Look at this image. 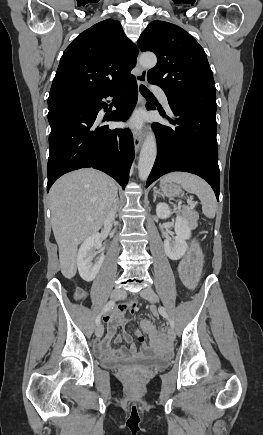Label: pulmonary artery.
<instances>
[{
  "label": "pulmonary artery",
  "mask_w": 263,
  "mask_h": 435,
  "mask_svg": "<svg viewBox=\"0 0 263 435\" xmlns=\"http://www.w3.org/2000/svg\"><path fill=\"white\" fill-rule=\"evenodd\" d=\"M152 90H153L156 94L159 95L162 104H163L166 108H169L168 98H167L166 94L164 93V91H163L160 87H158V86H156V85L152 86Z\"/></svg>",
  "instance_id": "pulmonary-artery-1"
}]
</instances>
